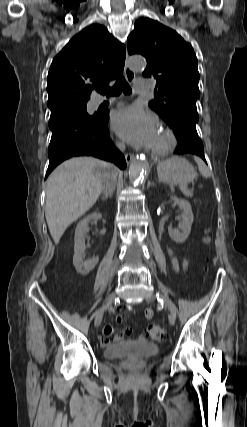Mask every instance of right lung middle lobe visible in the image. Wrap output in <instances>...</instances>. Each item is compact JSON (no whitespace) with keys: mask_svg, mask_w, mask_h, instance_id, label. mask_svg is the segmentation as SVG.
<instances>
[{"mask_svg":"<svg viewBox=\"0 0 247 427\" xmlns=\"http://www.w3.org/2000/svg\"><path fill=\"white\" fill-rule=\"evenodd\" d=\"M61 111H65V112H72V113H76V114H80L88 119H94L96 117H98V114H94L93 116H90L87 114V110H86V105H82V106H73V107H67Z\"/></svg>","mask_w":247,"mask_h":427,"instance_id":"obj_1","label":"right lung middle lobe"}]
</instances>
